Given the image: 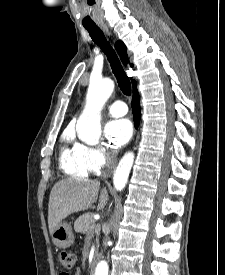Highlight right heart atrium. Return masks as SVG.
<instances>
[{"label":"right heart atrium","instance_id":"d8ad5b80","mask_svg":"<svg viewBox=\"0 0 225 275\" xmlns=\"http://www.w3.org/2000/svg\"><path fill=\"white\" fill-rule=\"evenodd\" d=\"M77 152L91 172H98L115 159V154L102 146L75 145Z\"/></svg>","mask_w":225,"mask_h":275}]
</instances>
